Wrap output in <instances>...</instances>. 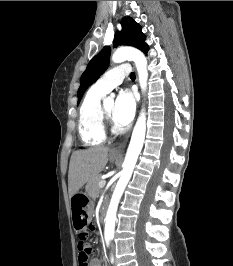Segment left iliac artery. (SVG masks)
<instances>
[{
    "label": "left iliac artery",
    "instance_id": "obj_1",
    "mask_svg": "<svg viewBox=\"0 0 233 266\" xmlns=\"http://www.w3.org/2000/svg\"><path fill=\"white\" fill-rule=\"evenodd\" d=\"M111 261L113 262V257H111Z\"/></svg>",
    "mask_w": 233,
    "mask_h": 266
}]
</instances>
